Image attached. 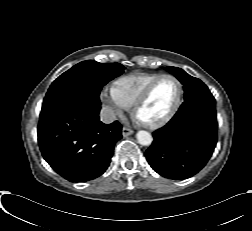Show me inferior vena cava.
I'll return each instance as SVG.
<instances>
[{
	"instance_id": "602c4592",
	"label": "inferior vena cava",
	"mask_w": 252,
	"mask_h": 231,
	"mask_svg": "<svg viewBox=\"0 0 252 231\" xmlns=\"http://www.w3.org/2000/svg\"><path fill=\"white\" fill-rule=\"evenodd\" d=\"M116 119V114L114 112V110H112V108L108 107V106H104L102 107L101 111H100V120L103 123L109 124L114 122Z\"/></svg>"
}]
</instances>
